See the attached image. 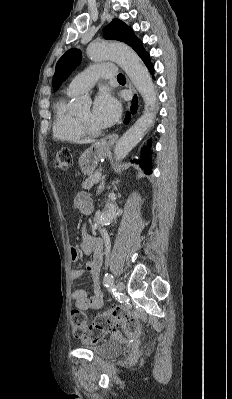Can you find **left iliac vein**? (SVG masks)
Instances as JSON below:
<instances>
[{"label": "left iliac vein", "instance_id": "1", "mask_svg": "<svg viewBox=\"0 0 232 399\" xmlns=\"http://www.w3.org/2000/svg\"><path fill=\"white\" fill-rule=\"evenodd\" d=\"M116 288L119 292H122L125 289L124 283H117Z\"/></svg>", "mask_w": 232, "mask_h": 399}]
</instances>
